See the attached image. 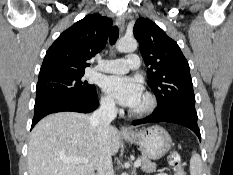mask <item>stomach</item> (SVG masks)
<instances>
[{"label": "stomach", "mask_w": 233, "mask_h": 175, "mask_svg": "<svg viewBox=\"0 0 233 175\" xmlns=\"http://www.w3.org/2000/svg\"><path fill=\"white\" fill-rule=\"evenodd\" d=\"M123 138L137 144L141 152L152 160L162 158L172 146V139L168 132L157 125L135 132L131 136H123Z\"/></svg>", "instance_id": "stomach-1"}]
</instances>
